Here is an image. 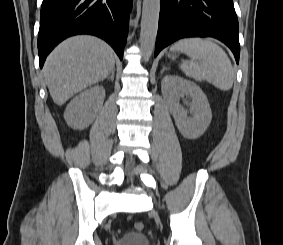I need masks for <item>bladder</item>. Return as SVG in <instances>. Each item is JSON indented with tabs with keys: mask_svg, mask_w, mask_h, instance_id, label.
Listing matches in <instances>:
<instances>
[{
	"mask_svg": "<svg viewBox=\"0 0 283 245\" xmlns=\"http://www.w3.org/2000/svg\"><path fill=\"white\" fill-rule=\"evenodd\" d=\"M115 245H151V242L144 233L129 232L120 237Z\"/></svg>",
	"mask_w": 283,
	"mask_h": 245,
	"instance_id": "bladder-1",
	"label": "bladder"
}]
</instances>
